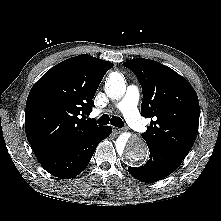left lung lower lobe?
Instances as JSON below:
<instances>
[{
    "label": "left lung lower lobe",
    "mask_w": 221,
    "mask_h": 221,
    "mask_svg": "<svg viewBox=\"0 0 221 221\" xmlns=\"http://www.w3.org/2000/svg\"><path fill=\"white\" fill-rule=\"evenodd\" d=\"M150 159L141 167H129V173L142 182H156L174 172L183 158L161 148L148 145Z\"/></svg>",
    "instance_id": "left-lung-lower-lobe-1"
}]
</instances>
